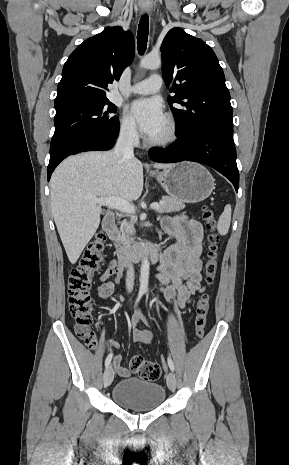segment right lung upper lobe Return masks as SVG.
Returning a JSON list of instances; mask_svg holds the SVG:
<instances>
[{"instance_id":"right-lung-upper-lobe-1","label":"right lung upper lobe","mask_w":289,"mask_h":465,"mask_svg":"<svg viewBox=\"0 0 289 465\" xmlns=\"http://www.w3.org/2000/svg\"><path fill=\"white\" fill-rule=\"evenodd\" d=\"M134 58V38L121 27H107L86 39L66 61L55 105L107 99V86L119 80Z\"/></svg>"}]
</instances>
